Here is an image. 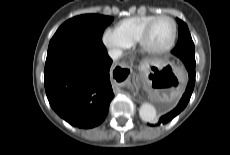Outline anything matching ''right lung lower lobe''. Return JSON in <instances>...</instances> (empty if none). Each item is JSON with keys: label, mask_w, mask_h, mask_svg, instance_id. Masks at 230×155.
<instances>
[{"label": "right lung lower lobe", "mask_w": 230, "mask_h": 155, "mask_svg": "<svg viewBox=\"0 0 230 155\" xmlns=\"http://www.w3.org/2000/svg\"><path fill=\"white\" fill-rule=\"evenodd\" d=\"M107 51L64 52L46 59L44 83L52 109L79 128L105 119L114 97Z\"/></svg>", "instance_id": "right-lung-lower-lobe-1"}]
</instances>
